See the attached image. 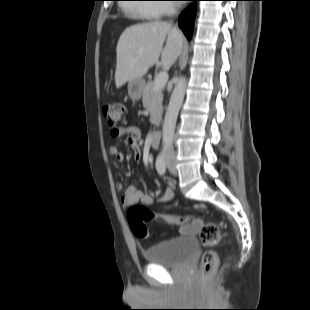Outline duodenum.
Returning <instances> with one entry per match:
<instances>
[{"label":"duodenum","mask_w":310,"mask_h":310,"mask_svg":"<svg viewBox=\"0 0 310 310\" xmlns=\"http://www.w3.org/2000/svg\"><path fill=\"white\" fill-rule=\"evenodd\" d=\"M162 133L160 130H155L150 134V142L153 148H159Z\"/></svg>","instance_id":"obj_1"}]
</instances>
